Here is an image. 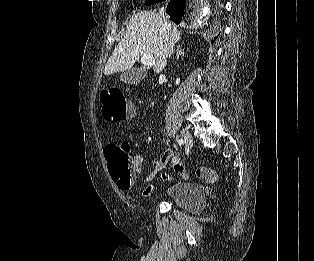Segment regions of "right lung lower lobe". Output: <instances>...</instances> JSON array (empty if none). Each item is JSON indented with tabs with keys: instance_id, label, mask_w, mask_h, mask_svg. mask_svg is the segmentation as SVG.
<instances>
[{
	"instance_id": "right-lung-lower-lobe-1",
	"label": "right lung lower lobe",
	"mask_w": 314,
	"mask_h": 261,
	"mask_svg": "<svg viewBox=\"0 0 314 261\" xmlns=\"http://www.w3.org/2000/svg\"><path fill=\"white\" fill-rule=\"evenodd\" d=\"M165 1V0H162ZM161 1V2H162ZM188 7L183 0H170L167 6L166 12L169 14L172 21L179 24L182 20H185ZM216 37L212 39V43L215 42Z\"/></svg>"
}]
</instances>
